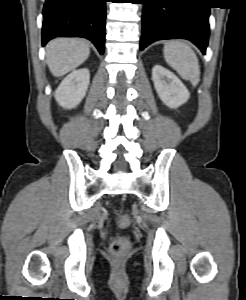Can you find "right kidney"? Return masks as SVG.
<instances>
[{
    "label": "right kidney",
    "mask_w": 246,
    "mask_h": 300,
    "mask_svg": "<svg viewBox=\"0 0 246 300\" xmlns=\"http://www.w3.org/2000/svg\"><path fill=\"white\" fill-rule=\"evenodd\" d=\"M90 80L89 70L86 68L72 71L60 83L55 91V99L66 109L75 108L86 95Z\"/></svg>",
    "instance_id": "ca27d5eb"
}]
</instances>
